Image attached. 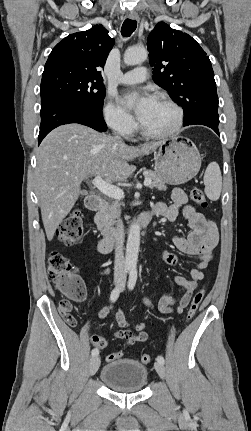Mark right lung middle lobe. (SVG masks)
I'll return each instance as SVG.
<instances>
[{
    "label": "right lung middle lobe",
    "instance_id": "obj_1",
    "mask_svg": "<svg viewBox=\"0 0 251 431\" xmlns=\"http://www.w3.org/2000/svg\"><path fill=\"white\" fill-rule=\"evenodd\" d=\"M41 105L66 100L101 111L105 87L100 80L65 66L44 69L40 87Z\"/></svg>",
    "mask_w": 251,
    "mask_h": 431
}]
</instances>
